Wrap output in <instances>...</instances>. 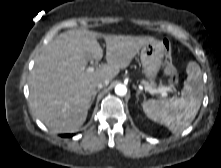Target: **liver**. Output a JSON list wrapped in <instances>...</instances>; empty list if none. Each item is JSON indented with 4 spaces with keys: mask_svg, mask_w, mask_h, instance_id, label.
Masks as SVG:
<instances>
[{
    "mask_svg": "<svg viewBox=\"0 0 221 168\" xmlns=\"http://www.w3.org/2000/svg\"><path fill=\"white\" fill-rule=\"evenodd\" d=\"M100 37L106 42L107 63L88 72V60L103 57ZM154 40L150 36L102 35L86 29L61 33L45 47L31 72L34 113L53 132L78 131L86 121L98 82L115 78L143 46Z\"/></svg>",
    "mask_w": 221,
    "mask_h": 168,
    "instance_id": "liver-1",
    "label": "liver"
}]
</instances>
